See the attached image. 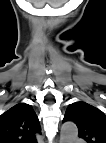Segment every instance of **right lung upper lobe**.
Listing matches in <instances>:
<instances>
[{"instance_id":"obj_1","label":"right lung upper lobe","mask_w":106,"mask_h":143,"mask_svg":"<svg viewBox=\"0 0 106 143\" xmlns=\"http://www.w3.org/2000/svg\"><path fill=\"white\" fill-rule=\"evenodd\" d=\"M41 128L32 107L19 103L0 115V143H35Z\"/></svg>"}]
</instances>
